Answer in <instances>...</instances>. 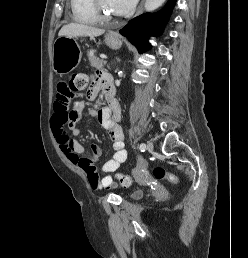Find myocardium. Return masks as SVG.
<instances>
[{"mask_svg": "<svg viewBox=\"0 0 248 258\" xmlns=\"http://www.w3.org/2000/svg\"><path fill=\"white\" fill-rule=\"evenodd\" d=\"M92 7L98 21L109 22L114 19L113 16L106 13V11L103 9L101 0H92Z\"/></svg>", "mask_w": 248, "mask_h": 258, "instance_id": "obj_1", "label": "myocardium"}]
</instances>
